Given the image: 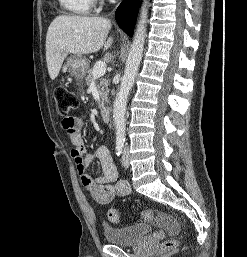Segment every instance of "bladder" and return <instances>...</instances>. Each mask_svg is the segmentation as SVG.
I'll use <instances>...</instances> for the list:
<instances>
[{
    "instance_id": "obj_1",
    "label": "bladder",
    "mask_w": 247,
    "mask_h": 257,
    "mask_svg": "<svg viewBox=\"0 0 247 257\" xmlns=\"http://www.w3.org/2000/svg\"><path fill=\"white\" fill-rule=\"evenodd\" d=\"M151 233V227L147 224H135L127 227L104 228L105 239L114 245L130 246L141 241Z\"/></svg>"
}]
</instances>
